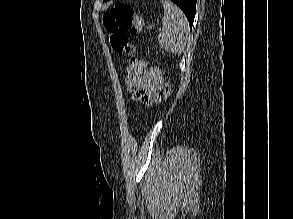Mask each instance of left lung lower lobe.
Returning <instances> with one entry per match:
<instances>
[{
	"label": "left lung lower lobe",
	"mask_w": 293,
	"mask_h": 219,
	"mask_svg": "<svg viewBox=\"0 0 293 219\" xmlns=\"http://www.w3.org/2000/svg\"><path fill=\"white\" fill-rule=\"evenodd\" d=\"M176 5H178L184 14L186 15L190 29L192 28V24L194 21L195 13H196V1L197 0H171Z\"/></svg>",
	"instance_id": "left-lung-lower-lobe-1"
}]
</instances>
